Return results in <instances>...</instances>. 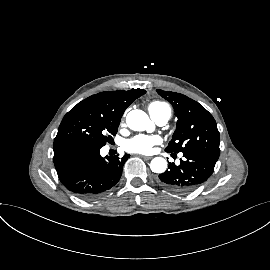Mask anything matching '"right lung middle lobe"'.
<instances>
[{
    "label": "right lung middle lobe",
    "mask_w": 270,
    "mask_h": 270,
    "mask_svg": "<svg viewBox=\"0 0 270 270\" xmlns=\"http://www.w3.org/2000/svg\"><path fill=\"white\" fill-rule=\"evenodd\" d=\"M119 123L85 99L64 116L54 142L75 140L101 148L117 133Z\"/></svg>",
    "instance_id": "1"
}]
</instances>
